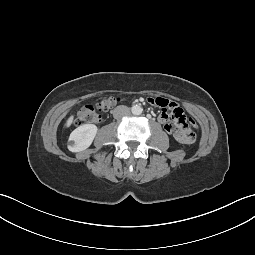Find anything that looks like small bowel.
Returning <instances> with one entry per match:
<instances>
[{"mask_svg": "<svg viewBox=\"0 0 255 255\" xmlns=\"http://www.w3.org/2000/svg\"><path fill=\"white\" fill-rule=\"evenodd\" d=\"M145 103L155 110L163 109L158 115V120L173 140L184 145H192L195 142L197 135L189 126L185 112L179 103L172 99L153 96L147 97ZM166 109L170 112L167 113Z\"/></svg>", "mask_w": 255, "mask_h": 255, "instance_id": "c3829d8e", "label": "small bowel"}]
</instances>
